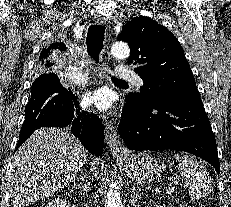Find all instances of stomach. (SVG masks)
Segmentation results:
<instances>
[{
  "label": "stomach",
  "instance_id": "obj_1",
  "mask_svg": "<svg viewBox=\"0 0 231 207\" xmlns=\"http://www.w3.org/2000/svg\"><path fill=\"white\" fill-rule=\"evenodd\" d=\"M118 165L130 179L139 183H151L161 172L158 161L148 153L125 154L118 158Z\"/></svg>",
  "mask_w": 231,
  "mask_h": 207
}]
</instances>
